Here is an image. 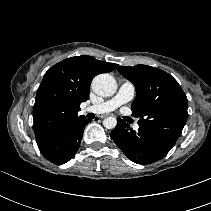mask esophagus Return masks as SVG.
<instances>
[{
	"instance_id": "esophagus-1",
	"label": "esophagus",
	"mask_w": 211,
	"mask_h": 211,
	"mask_svg": "<svg viewBox=\"0 0 211 211\" xmlns=\"http://www.w3.org/2000/svg\"><path fill=\"white\" fill-rule=\"evenodd\" d=\"M108 115H102L100 118L103 119V118H106Z\"/></svg>"
}]
</instances>
